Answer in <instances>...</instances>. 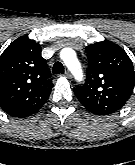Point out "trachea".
I'll return each mask as SVG.
<instances>
[{
  "label": "trachea",
  "mask_w": 135,
  "mask_h": 165,
  "mask_svg": "<svg viewBox=\"0 0 135 165\" xmlns=\"http://www.w3.org/2000/svg\"><path fill=\"white\" fill-rule=\"evenodd\" d=\"M53 74H63L64 73V66L61 62H56L53 65L52 69Z\"/></svg>",
  "instance_id": "3493384b"
}]
</instances>
